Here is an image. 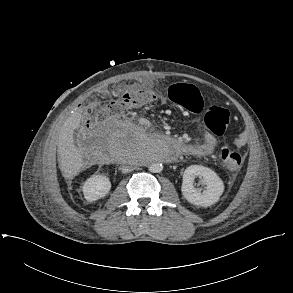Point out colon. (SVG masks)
<instances>
[{
  "label": "colon",
  "mask_w": 293,
  "mask_h": 293,
  "mask_svg": "<svg viewBox=\"0 0 293 293\" xmlns=\"http://www.w3.org/2000/svg\"><path fill=\"white\" fill-rule=\"evenodd\" d=\"M171 101L191 112L199 113L203 109V99L198 88L192 84L174 85L170 92ZM153 96L149 89L137 87L128 90L121 98L110 101L98 107L91 115L89 129L98 131L108 120L126 113L132 109L148 105ZM231 119L230 111L219 106H211L204 116L206 127L216 135H222ZM224 167L232 172L237 171L242 164L241 155L230 148H223L220 154Z\"/></svg>",
  "instance_id": "obj_1"
}]
</instances>
